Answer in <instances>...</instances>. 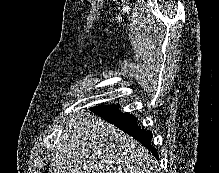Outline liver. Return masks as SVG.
Masks as SVG:
<instances>
[{"mask_svg":"<svg viewBox=\"0 0 219 173\" xmlns=\"http://www.w3.org/2000/svg\"><path fill=\"white\" fill-rule=\"evenodd\" d=\"M51 173H158L150 152L98 116H70L56 144Z\"/></svg>","mask_w":219,"mask_h":173,"instance_id":"liver-1","label":"liver"}]
</instances>
